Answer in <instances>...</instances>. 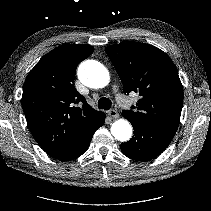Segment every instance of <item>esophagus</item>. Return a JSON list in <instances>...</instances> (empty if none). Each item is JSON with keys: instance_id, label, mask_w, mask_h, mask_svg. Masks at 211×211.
Returning a JSON list of instances; mask_svg holds the SVG:
<instances>
[{"instance_id": "esophagus-1", "label": "esophagus", "mask_w": 211, "mask_h": 211, "mask_svg": "<svg viewBox=\"0 0 211 211\" xmlns=\"http://www.w3.org/2000/svg\"><path fill=\"white\" fill-rule=\"evenodd\" d=\"M109 116L112 117V118H118L119 117V114L117 112L116 109H111L109 112H108Z\"/></svg>"}]
</instances>
